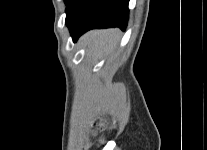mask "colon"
Instances as JSON below:
<instances>
[{
	"mask_svg": "<svg viewBox=\"0 0 207 150\" xmlns=\"http://www.w3.org/2000/svg\"><path fill=\"white\" fill-rule=\"evenodd\" d=\"M113 128V123L109 121L99 120L94 124V134L102 137L105 133Z\"/></svg>",
	"mask_w": 207,
	"mask_h": 150,
	"instance_id": "1",
	"label": "colon"
}]
</instances>
